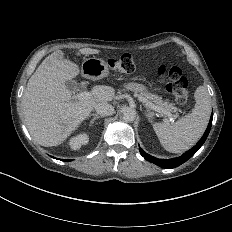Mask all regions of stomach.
Listing matches in <instances>:
<instances>
[{"label": "stomach", "mask_w": 232, "mask_h": 232, "mask_svg": "<svg viewBox=\"0 0 232 232\" xmlns=\"http://www.w3.org/2000/svg\"><path fill=\"white\" fill-rule=\"evenodd\" d=\"M82 73L89 79H102L110 75V66L102 58H88L82 64ZM123 86L135 93L148 92V88L141 83L127 82Z\"/></svg>", "instance_id": "obj_1"}]
</instances>
